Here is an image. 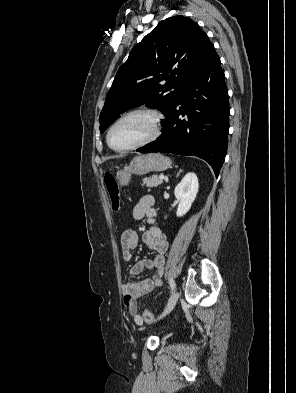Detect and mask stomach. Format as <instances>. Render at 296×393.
Segmentation results:
<instances>
[{
    "label": "stomach",
    "mask_w": 296,
    "mask_h": 393,
    "mask_svg": "<svg viewBox=\"0 0 296 393\" xmlns=\"http://www.w3.org/2000/svg\"><path fill=\"white\" fill-rule=\"evenodd\" d=\"M171 160L159 153H150L134 157L130 164L117 172V180L121 186L128 185L131 175H145L151 171H164L171 166Z\"/></svg>",
    "instance_id": "1"
}]
</instances>
